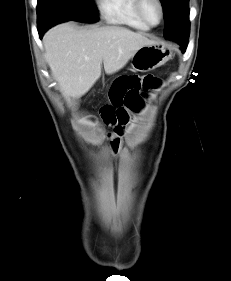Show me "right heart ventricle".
Listing matches in <instances>:
<instances>
[{"label": "right heart ventricle", "mask_w": 231, "mask_h": 281, "mask_svg": "<svg viewBox=\"0 0 231 281\" xmlns=\"http://www.w3.org/2000/svg\"><path fill=\"white\" fill-rule=\"evenodd\" d=\"M99 9L108 23L126 25L144 31L149 29L137 12L136 0H99Z\"/></svg>", "instance_id": "e07e8e85"}]
</instances>
